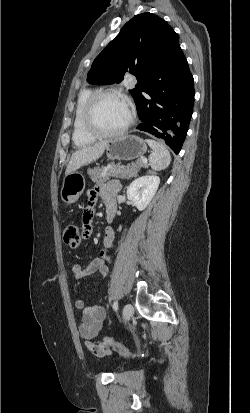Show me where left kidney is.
<instances>
[{"mask_svg":"<svg viewBox=\"0 0 250 413\" xmlns=\"http://www.w3.org/2000/svg\"><path fill=\"white\" fill-rule=\"evenodd\" d=\"M160 183L155 174L145 175L135 179L127 189V198L139 211L144 210L154 197Z\"/></svg>","mask_w":250,"mask_h":413,"instance_id":"5707ae66","label":"left kidney"}]
</instances>
